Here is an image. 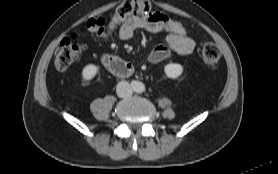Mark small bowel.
Here are the masks:
<instances>
[{"label": "small bowel", "mask_w": 278, "mask_h": 174, "mask_svg": "<svg viewBox=\"0 0 278 174\" xmlns=\"http://www.w3.org/2000/svg\"><path fill=\"white\" fill-rule=\"evenodd\" d=\"M166 15L160 12L136 14L128 17L118 28L120 39L129 40L136 31L145 30L151 33H164L166 44L156 45L149 54V61L159 63L166 60L171 52L179 55H189L195 49V41L189 36H180L169 31L162 22ZM129 75V74H128Z\"/></svg>", "instance_id": "1"}]
</instances>
